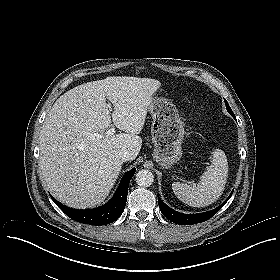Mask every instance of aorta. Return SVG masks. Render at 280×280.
<instances>
[{"label": "aorta", "instance_id": "1", "mask_svg": "<svg viewBox=\"0 0 280 280\" xmlns=\"http://www.w3.org/2000/svg\"><path fill=\"white\" fill-rule=\"evenodd\" d=\"M136 182L139 186L148 187L154 182V175L151 171L142 169L136 173Z\"/></svg>", "mask_w": 280, "mask_h": 280}]
</instances>
